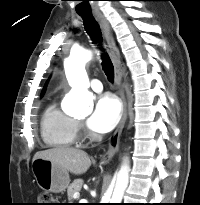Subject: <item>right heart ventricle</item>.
<instances>
[{
    "label": "right heart ventricle",
    "instance_id": "right-heart-ventricle-1",
    "mask_svg": "<svg viewBox=\"0 0 200 205\" xmlns=\"http://www.w3.org/2000/svg\"><path fill=\"white\" fill-rule=\"evenodd\" d=\"M41 137L48 147H72L77 138L78 124L51 101L43 110L40 121Z\"/></svg>",
    "mask_w": 200,
    "mask_h": 205
}]
</instances>
